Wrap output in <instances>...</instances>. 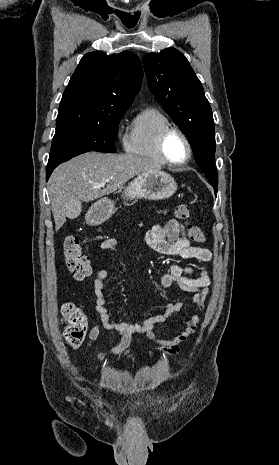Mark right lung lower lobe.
I'll return each instance as SVG.
<instances>
[{"instance_id": "right-lung-lower-lobe-1", "label": "right lung lower lobe", "mask_w": 279, "mask_h": 465, "mask_svg": "<svg viewBox=\"0 0 279 465\" xmlns=\"http://www.w3.org/2000/svg\"><path fill=\"white\" fill-rule=\"evenodd\" d=\"M56 166H47L46 168V179L48 180V178L50 177L53 169L55 168Z\"/></svg>"}]
</instances>
